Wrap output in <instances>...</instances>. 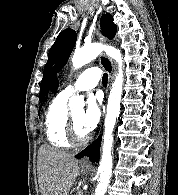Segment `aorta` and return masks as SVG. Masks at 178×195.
Returning <instances> with one entry per match:
<instances>
[{
  "mask_svg": "<svg viewBox=\"0 0 178 195\" xmlns=\"http://www.w3.org/2000/svg\"><path fill=\"white\" fill-rule=\"evenodd\" d=\"M102 51L113 58L118 64V73L112 84V88L108 98L107 113L104 123V135L102 144V157L99 165L100 176L98 185L95 189V195H104L110 181L112 172V146H113V130L116 124V119L120 114V101L122 96L123 85V60L121 52L112 47L99 43L85 45L79 50H76L72 56V65L78 69L92 60H94ZM83 100L79 96H74L69 101V107L74 109L82 106Z\"/></svg>",
  "mask_w": 178,
  "mask_h": 195,
  "instance_id": "1",
  "label": "aorta"
}]
</instances>
